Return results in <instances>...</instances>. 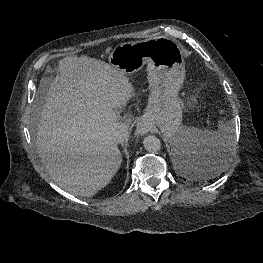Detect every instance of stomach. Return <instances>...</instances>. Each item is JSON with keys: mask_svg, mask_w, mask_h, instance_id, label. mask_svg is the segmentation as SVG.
Returning a JSON list of instances; mask_svg holds the SVG:
<instances>
[{"mask_svg": "<svg viewBox=\"0 0 263 263\" xmlns=\"http://www.w3.org/2000/svg\"><path fill=\"white\" fill-rule=\"evenodd\" d=\"M109 64L125 75H132L147 64L151 93L142 121L172 138L180 128L184 109L178 96L185 77L179 43L167 37L122 43L109 54Z\"/></svg>", "mask_w": 263, "mask_h": 263, "instance_id": "obj_1", "label": "stomach"}]
</instances>
